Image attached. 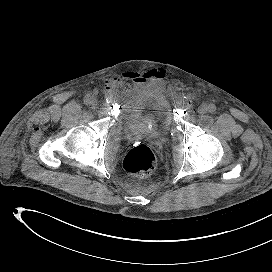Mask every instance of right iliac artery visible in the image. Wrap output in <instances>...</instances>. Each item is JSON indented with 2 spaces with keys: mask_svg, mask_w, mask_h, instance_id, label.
I'll list each match as a JSON object with an SVG mask.
<instances>
[{
  "mask_svg": "<svg viewBox=\"0 0 272 272\" xmlns=\"http://www.w3.org/2000/svg\"><path fill=\"white\" fill-rule=\"evenodd\" d=\"M84 103L86 105H90L91 104V97L89 95L85 96Z\"/></svg>",
  "mask_w": 272,
  "mask_h": 272,
  "instance_id": "1",
  "label": "right iliac artery"
}]
</instances>
